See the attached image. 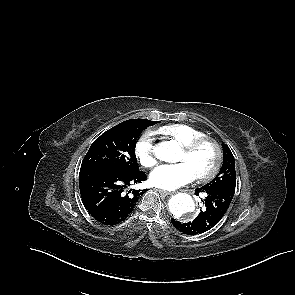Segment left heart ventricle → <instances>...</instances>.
<instances>
[{
  "label": "left heart ventricle",
  "instance_id": "1",
  "mask_svg": "<svg viewBox=\"0 0 295 295\" xmlns=\"http://www.w3.org/2000/svg\"><path fill=\"white\" fill-rule=\"evenodd\" d=\"M216 153L214 147L206 143L193 154L181 151L178 162H186L195 172L196 176L207 173L214 165Z\"/></svg>",
  "mask_w": 295,
  "mask_h": 295
}]
</instances>
